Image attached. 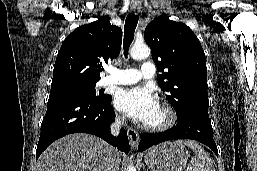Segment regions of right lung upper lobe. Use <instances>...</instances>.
I'll return each mask as SVG.
<instances>
[{"label":"right lung upper lobe","mask_w":257,"mask_h":171,"mask_svg":"<svg viewBox=\"0 0 257 171\" xmlns=\"http://www.w3.org/2000/svg\"><path fill=\"white\" fill-rule=\"evenodd\" d=\"M121 40V28L105 17L75 29L58 52L51 88L99 81L102 64L118 56Z\"/></svg>","instance_id":"right-lung-upper-lobe-1"}]
</instances>
